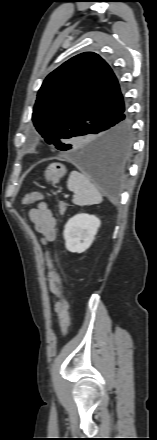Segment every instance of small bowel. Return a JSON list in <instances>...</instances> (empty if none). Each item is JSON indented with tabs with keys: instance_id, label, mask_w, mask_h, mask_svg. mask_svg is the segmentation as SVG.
Wrapping results in <instances>:
<instances>
[{
	"instance_id": "small-bowel-1",
	"label": "small bowel",
	"mask_w": 157,
	"mask_h": 440,
	"mask_svg": "<svg viewBox=\"0 0 157 440\" xmlns=\"http://www.w3.org/2000/svg\"><path fill=\"white\" fill-rule=\"evenodd\" d=\"M29 218L35 229L42 235V242L44 244L56 239V220L45 203H41L38 207L30 209ZM49 280L50 290L57 296L59 294V288L54 279L52 270L49 272Z\"/></svg>"
}]
</instances>
